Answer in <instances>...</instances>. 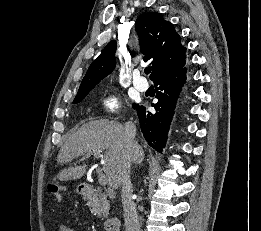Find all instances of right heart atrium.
<instances>
[{"instance_id": "right-heart-atrium-1", "label": "right heart atrium", "mask_w": 261, "mask_h": 231, "mask_svg": "<svg viewBox=\"0 0 261 231\" xmlns=\"http://www.w3.org/2000/svg\"><path fill=\"white\" fill-rule=\"evenodd\" d=\"M98 106L102 112L113 114L121 107V101L117 94L106 93L99 99Z\"/></svg>"}]
</instances>
